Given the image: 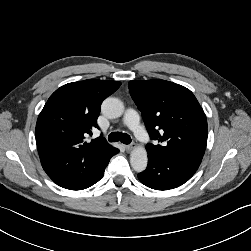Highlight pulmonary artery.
Here are the masks:
<instances>
[{"label":"pulmonary artery","instance_id":"obj_1","mask_svg":"<svg viewBox=\"0 0 251 251\" xmlns=\"http://www.w3.org/2000/svg\"><path fill=\"white\" fill-rule=\"evenodd\" d=\"M124 123L135 133L136 137L141 140H147V133L140 123L138 113L134 109H128L124 116Z\"/></svg>","mask_w":251,"mask_h":251}]
</instances>
